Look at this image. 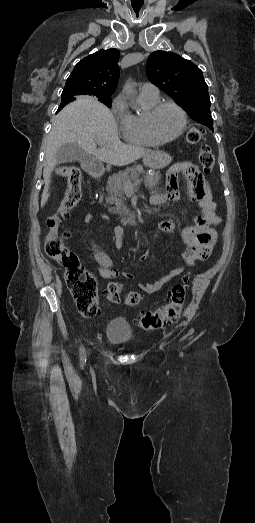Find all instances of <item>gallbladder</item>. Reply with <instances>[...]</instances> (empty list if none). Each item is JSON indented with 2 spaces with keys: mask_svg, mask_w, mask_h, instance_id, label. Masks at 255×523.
<instances>
[{
  "mask_svg": "<svg viewBox=\"0 0 255 523\" xmlns=\"http://www.w3.org/2000/svg\"><path fill=\"white\" fill-rule=\"evenodd\" d=\"M55 158L58 162H62V164H64V162H75V160H78L81 164H88L91 160L90 154L84 152L76 142H71V144L68 142V144L60 146Z\"/></svg>",
  "mask_w": 255,
  "mask_h": 523,
  "instance_id": "obj_1",
  "label": "gallbladder"
}]
</instances>
